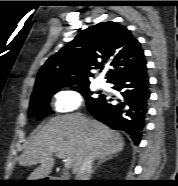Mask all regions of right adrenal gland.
Here are the masks:
<instances>
[{
    "label": "right adrenal gland",
    "instance_id": "2a0ac1e0",
    "mask_svg": "<svg viewBox=\"0 0 178 186\" xmlns=\"http://www.w3.org/2000/svg\"><path fill=\"white\" fill-rule=\"evenodd\" d=\"M112 158H113V156H108V157H105V158L100 159V160L97 162V164L94 166V169H93V171H92V174H94V172H95V170L97 169V167H99L101 164H103L104 162H106L107 160H110V159H112Z\"/></svg>",
    "mask_w": 178,
    "mask_h": 186
}]
</instances>
